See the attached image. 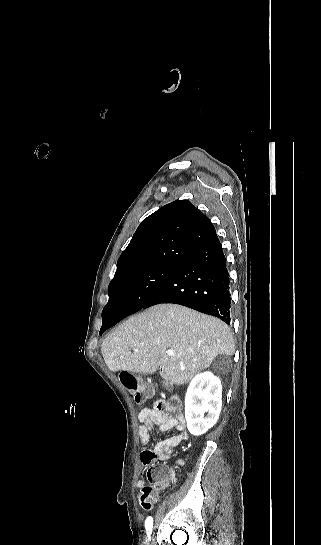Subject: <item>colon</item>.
Instances as JSON below:
<instances>
[{"instance_id": "1", "label": "colon", "mask_w": 321, "mask_h": 545, "mask_svg": "<svg viewBox=\"0 0 321 545\" xmlns=\"http://www.w3.org/2000/svg\"><path fill=\"white\" fill-rule=\"evenodd\" d=\"M120 381L128 390L136 403H143L150 395V387L143 384L134 374L123 371L120 373ZM149 457L153 456V452L146 451ZM162 471H157L153 478V486H144L139 493L140 503L144 509H150L157 500V491L163 487L166 482L162 481Z\"/></svg>"}]
</instances>
